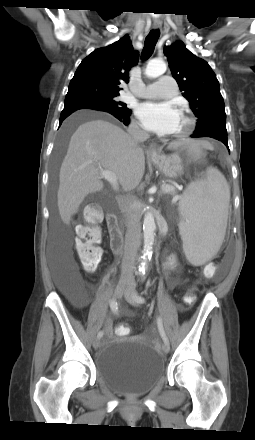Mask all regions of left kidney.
Here are the masks:
<instances>
[{
  "instance_id": "obj_1",
  "label": "left kidney",
  "mask_w": 255,
  "mask_h": 440,
  "mask_svg": "<svg viewBox=\"0 0 255 440\" xmlns=\"http://www.w3.org/2000/svg\"><path fill=\"white\" fill-rule=\"evenodd\" d=\"M171 257H172V259H171ZM171 257L169 258V261H170L171 264H174L175 263L174 256L172 255Z\"/></svg>"
}]
</instances>
